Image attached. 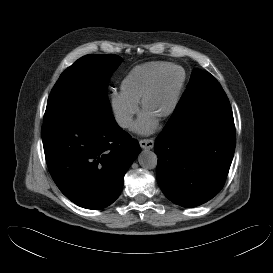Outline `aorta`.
<instances>
[{
	"label": "aorta",
	"instance_id": "762f6f07",
	"mask_svg": "<svg viewBox=\"0 0 273 273\" xmlns=\"http://www.w3.org/2000/svg\"><path fill=\"white\" fill-rule=\"evenodd\" d=\"M139 164L146 169H153L157 165V156L153 151L143 150L138 156Z\"/></svg>",
	"mask_w": 273,
	"mask_h": 273
}]
</instances>
